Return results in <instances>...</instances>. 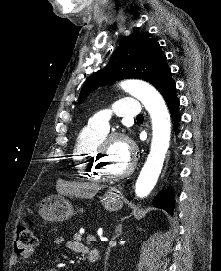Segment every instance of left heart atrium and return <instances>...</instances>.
<instances>
[{
	"instance_id": "39dd6f15",
	"label": "left heart atrium",
	"mask_w": 221,
	"mask_h": 271,
	"mask_svg": "<svg viewBox=\"0 0 221 271\" xmlns=\"http://www.w3.org/2000/svg\"><path fill=\"white\" fill-rule=\"evenodd\" d=\"M109 156L110 157H127L128 153L127 152H110Z\"/></svg>"
}]
</instances>
